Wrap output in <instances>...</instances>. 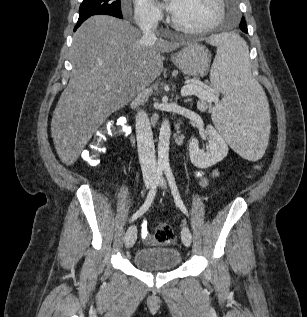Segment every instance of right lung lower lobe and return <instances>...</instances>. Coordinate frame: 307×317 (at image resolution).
<instances>
[{"label":"right lung lower lobe","instance_id":"obj_1","mask_svg":"<svg viewBox=\"0 0 307 317\" xmlns=\"http://www.w3.org/2000/svg\"><path fill=\"white\" fill-rule=\"evenodd\" d=\"M86 19H87V18H86ZM86 19L78 20V23H77V25H76L75 28H74V31H75Z\"/></svg>","mask_w":307,"mask_h":317}]
</instances>
